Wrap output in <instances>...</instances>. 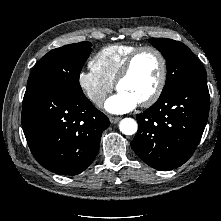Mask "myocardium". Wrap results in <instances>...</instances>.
Returning a JSON list of instances; mask_svg holds the SVG:
<instances>
[{"label": "myocardium", "instance_id": "f54148a6", "mask_svg": "<svg viewBox=\"0 0 221 221\" xmlns=\"http://www.w3.org/2000/svg\"><path fill=\"white\" fill-rule=\"evenodd\" d=\"M146 51H151L156 54V56L159 58L160 61V77L157 83L156 88L152 92V94L142 102H140V105L143 107H148L153 105L158 101L160 96L162 95L166 81H167V61L164 56V54L156 47L154 46H141L135 51H133L125 60L120 72L118 73L116 80H115V87L118 90L120 83L129 76V74L132 71L133 65L136 61V59Z\"/></svg>", "mask_w": 221, "mask_h": 221}]
</instances>
